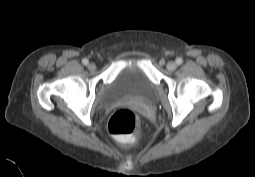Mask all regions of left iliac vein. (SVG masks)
<instances>
[{"mask_svg":"<svg viewBox=\"0 0 255 177\" xmlns=\"http://www.w3.org/2000/svg\"><path fill=\"white\" fill-rule=\"evenodd\" d=\"M176 67H177V64H176L175 62H173V61H171V62H169V63L167 64V69L170 70V71L175 70Z\"/></svg>","mask_w":255,"mask_h":177,"instance_id":"left-iliac-vein-1","label":"left iliac vein"}]
</instances>
